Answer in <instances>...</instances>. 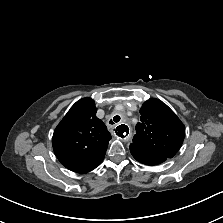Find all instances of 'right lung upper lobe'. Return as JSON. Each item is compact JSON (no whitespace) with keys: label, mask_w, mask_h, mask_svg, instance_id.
Returning a JSON list of instances; mask_svg holds the SVG:
<instances>
[{"label":"right lung upper lobe","mask_w":223,"mask_h":223,"mask_svg":"<svg viewBox=\"0 0 223 223\" xmlns=\"http://www.w3.org/2000/svg\"><path fill=\"white\" fill-rule=\"evenodd\" d=\"M91 98L77 101L56 127L52 145L63 166L77 173L95 169L104 159L111 135Z\"/></svg>","instance_id":"cb5924a9"}]
</instances>
